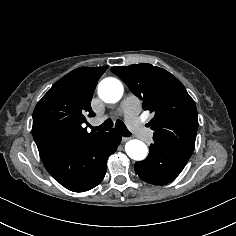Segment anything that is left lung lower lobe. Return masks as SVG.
<instances>
[{
  "mask_svg": "<svg viewBox=\"0 0 236 236\" xmlns=\"http://www.w3.org/2000/svg\"><path fill=\"white\" fill-rule=\"evenodd\" d=\"M191 155L169 143L154 141L148 157L135 163V172L147 183L165 185L181 173Z\"/></svg>",
  "mask_w": 236,
  "mask_h": 236,
  "instance_id": "0a47b994",
  "label": "left lung lower lobe"
}]
</instances>
